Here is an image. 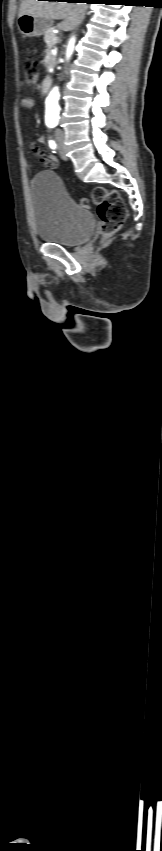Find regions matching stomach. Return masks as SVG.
<instances>
[{
  "instance_id": "obj_1",
  "label": "stomach",
  "mask_w": 162,
  "mask_h": 851,
  "mask_svg": "<svg viewBox=\"0 0 162 851\" xmlns=\"http://www.w3.org/2000/svg\"><path fill=\"white\" fill-rule=\"evenodd\" d=\"M17 26L23 36L39 37L50 30L52 20L24 14L18 16Z\"/></svg>"
}]
</instances>
